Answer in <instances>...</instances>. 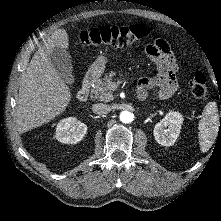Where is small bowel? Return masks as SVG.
<instances>
[{"instance_id": "small-bowel-1", "label": "small bowel", "mask_w": 221, "mask_h": 221, "mask_svg": "<svg viewBox=\"0 0 221 221\" xmlns=\"http://www.w3.org/2000/svg\"><path fill=\"white\" fill-rule=\"evenodd\" d=\"M146 53L155 64L157 75L154 78H143L139 81L140 95H145L149 89L156 88L160 97L172 96L177 89L178 66L169 44L164 39H157L146 47Z\"/></svg>"}]
</instances>
